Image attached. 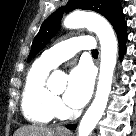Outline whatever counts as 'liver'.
I'll return each mask as SVG.
<instances>
[{
	"label": "liver",
	"mask_w": 136,
	"mask_h": 136,
	"mask_svg": "<svg viewBox=\"0 0 136 136\" xmlns=\"http://www.w3.org/2000/svg\"><path fill=\"white\" fill-rule=\"evenodd\" d=\"M55 131L42 126H24L14 136H55Z\"/></svg>",
	"instance_id": "obj_1"
}]
</instances>
